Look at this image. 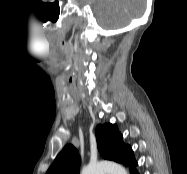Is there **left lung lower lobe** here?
<instances>
[{"mask_svg": "<svg viewBox=\"0 0 187 174\" xmlns=\"http://www.w3.org/2000/svg\"><path fill=\"white\" fill-rule=\"evenodd\" d=\"M135 166H136V164H135ZM131 174H138V173H137L136 170L133 168V169L131 170Z\"/></svg>", "mask_w": 187, "mask_h": 174, "instance_id": "obj_1", "label": "left lung lower lobe"}]
</instances>
